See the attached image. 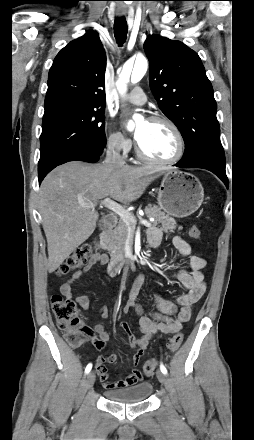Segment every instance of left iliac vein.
I'll return each mask as SVG.
<instances>
[{
  "label": "left iliac vein",
  "mask_w": 254,
  "mask_h": 440,
  "mask_svg": "<svg viewBox=\"0 0 254 440\" xmlns=\"http://www.w3.org/2000/svg\"><path fill=\"white\" fill-rule=\"evenodd\" d=\"M156 376L162 384L167 385V379H166L165 374H163L160 370H157Z\"/></svg>",
  "instance_id": "obj_1"
}]
</instances>
